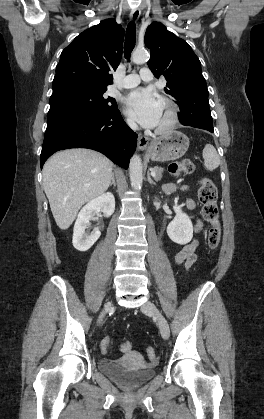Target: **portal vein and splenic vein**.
Segmentation results:
<instances>
[{"instance_id": "1", "label": "portal vein and splenic vein", "mask_w": 264, "mask_h": 419, "mask_svg": "<svg viewBox=\"0 0 264 419\" xmlns=\"http://www.w3.org/2000/svg\"><path fill=\"white\" fill-rule=\"evenodd\" d=\"M151 175H152L153 177H155V176H156V172H155L153 169H151Z\"/></svg>"}]
</instances>
